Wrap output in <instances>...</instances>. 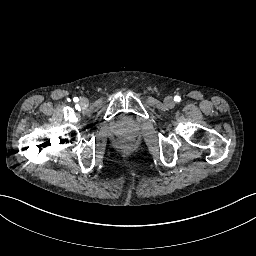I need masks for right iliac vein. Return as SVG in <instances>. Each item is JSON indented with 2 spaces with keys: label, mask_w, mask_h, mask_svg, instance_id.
I'll return each instance as SVG.
<instances>
[{
  "label": "right iliac vein",
  "mask_w": 256,
  "mask_h": 256,
  "mask_svg": "<svg viewBox=\"0 0 256 256\" xmlns=\"http://www.w3.org/2000/svg\"><path fill=\"white\" fill-rule=\"evenodd\" d=\"M86 104H87V99H85V98L80 99L81 106H85Z\"/></svg>",
  "instance_id": "1"
}]
</instances>
